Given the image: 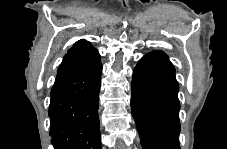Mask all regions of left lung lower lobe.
<instances>
[{"label":"left lung lower lobe","instance_id":"1","mask_svg":"<svg viewBox=\"0 0 227 149\" xmlns=\"http://www.w3.org/2000/svg\"><path fill=\"white\" fill-rule=\"evenodd\" d=\"M179 85L163 51H152L136 65L131 110L143 149H180Z\"/></svg>","mask_w":227,"mask_h":149}]
</instances>
